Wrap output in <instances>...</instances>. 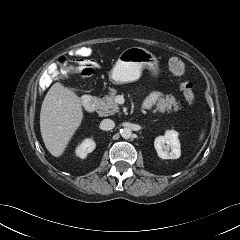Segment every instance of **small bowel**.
I'll use <instances>...</instances> for the list:
<instances>
[{
  "mask_svg": "<svg viewBox=\"0 0 240 240\" xmlns=\"http://www.w3.org/2000/svg\"><path fill=\"white\" fill-rule=\"evenodd\" d=\"M96 64V63H95ZM60 67L56 62L51 63L46 72L45 76L47 79H56L60 76ZM161 99V94L159 92H152L147 96V98L143 102L144 109H151L155 104H157Z\"/></svg>",
  "mask_w": 240,
  "mask_h": 240,
  "instance_id": "obj_1",
  "label": "small bowel"
}]
</instances>
